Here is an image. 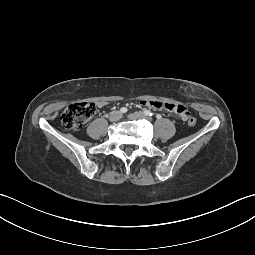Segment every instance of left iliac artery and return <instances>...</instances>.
<instances>
[{
  "instance_id": "1",
  "label": "left iliac artery",
  "mask_w": 255,
  "mask_h": 255,
  "mask_svg": "<svg viewBox=\"0 0 255 255\" xmlns=\"http://www.w3.org/2000/svg\"><path fill=\"white\" fill-rule=\"evenodd\" d=\"M144 114H145V115H148V116H152V115H153L152 112L149 111V110H145V111H144Z\"/></svg>"
}]
</instances>
